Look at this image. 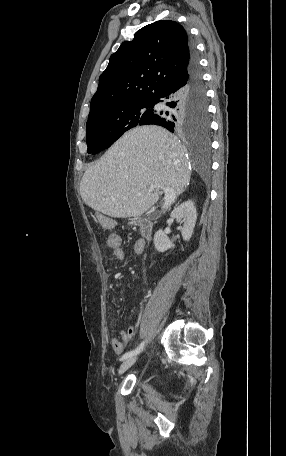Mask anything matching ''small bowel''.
<instances>
[{
    "mask_svg": "<svg viewBox=\"0 0 286 456\" xmlns=\"http://www.w3.org/2000/svg\"><path fill=\"white\" fill-rule=\"evenodd\" d=\"M114 237L115 241L110 242V238ZM107 244L112 251V256L116 260H124L126 258V252L122 247L121 237L118 234H111L107 239ZM145 248V242L137 240L131 248V252L134 255H140ZM135 335V328L133 326L128 327L120 332L121 340L117 338L112 339V348L116 354H121L125 349V344L132 341Z\"/></svg>",
    "mask_w": 286,
    "mask_h": 456,
    "instance_id": "small-bowel-1",
    "label": "small bowel"
}]
</instances>
